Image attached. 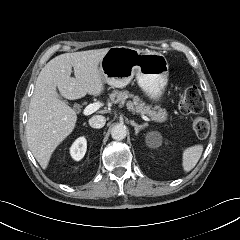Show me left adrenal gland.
Instances as JSON below:
<instances>
[{"label": "left adrenal gland", "instance_id": "obj_1", "mask_svg": "<svg viewBox=\"0 0 240 240\" xmlns=\"http://www.w3.org/2000/svg\"><path fill=\"white\" fill-rule=\"evenodd\" d=\"M130 124L132 125V126H134V128H135V134L136 135H138V133H139V131L141 130V129H143L145 126H147V124L146 123H144V124H141V125H138L137 123H135L134 121H130Z\"/></svg>", "mask_w": 240, "mask_h": 240}]
</instances>
